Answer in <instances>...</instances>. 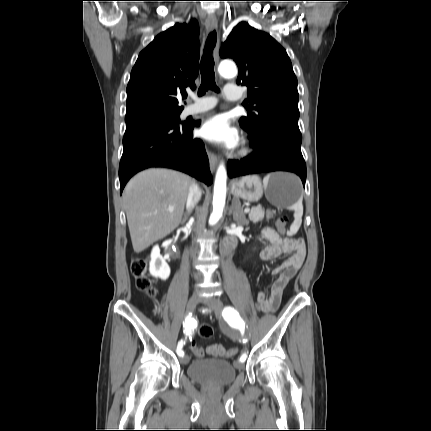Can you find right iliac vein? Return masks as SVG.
<instances>
[{"mask_svg":"<svg viewBox=\"0 0 431 431\" xmlns=\"http://www.w3.org/2000/svg\"><path fill=\"white\" fill-rule=\"evenodd\" d=\"M199 296L197 293H194L188 300L187 302V306H186V312L187 313H191L197 306L198 302H199ZM190 358L189 356L185 355L181 358V363L182 364H187L189 362Z\"/></svg>","mask_w":431,"mask_h":431,"instance_id":"right-iliac-vein-1","label":"right iliac vein"}]
</instances>
